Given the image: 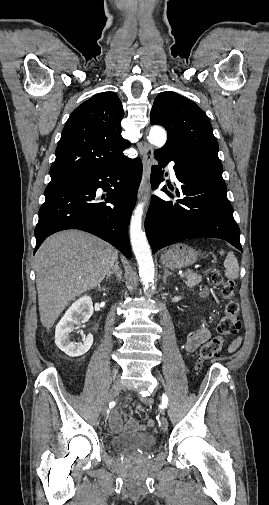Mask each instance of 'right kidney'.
<instances>
[{
  "instance_id": "right-kidney-1",
  "label": "right kidney",
  "mask_w": 269,
  "mask_h": 505,
  "mask_svg": "<svg viewBox=\"0 0 269 505\" xmlns=\"http://www.w3.org/2000/svg\"><path fill=\"white\" fill-rule=\"evenodd\" d=\"M93 314V303L90 296H83L75 301L66 311L56 326L55 343L70 357L84 355L93 344V335L88 334L83 337V342L74 343L70 341L71 332L78 328L76 326L85 323Z\"/></svg>"
}]
</instances>
